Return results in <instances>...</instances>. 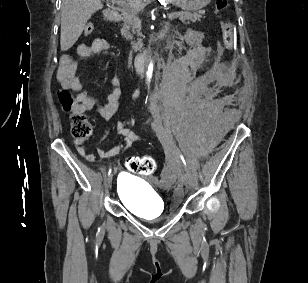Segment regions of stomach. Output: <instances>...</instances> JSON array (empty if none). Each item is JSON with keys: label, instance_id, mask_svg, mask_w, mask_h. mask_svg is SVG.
Wrapping results in <instances>:
<instances>
[{"label": "stomach", "instance_id": "obj_1", "mask_svg": "<svg viewBox=\"0 0 308 283\" xmlns=\"http://www.w3.org/2000/svg\"><path fill=\"white\" fill-rule=\"evenodd\" d=\"M167 2L186 11H196L208 5L211 0H167Z\"/></svg>", "mask_w": 308, "mask_h": 283}]
</instances>
